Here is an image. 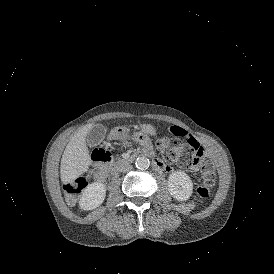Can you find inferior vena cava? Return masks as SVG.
Here are the masks:
<instances>
[{
    "label": "inferior vena cava",
    "mask_w": 274,
    "mask_h": 274,
    "mask_svg": "<svg viewBox=\"0 0 274 274\" xmlns=\"http://www.w3.org/2000/svg\"><path fill=\"white\" fill-rule=\"evenodd\" d=\"M131 169H132V166L130 164H125L120 167V171L124 173L128 172Z\"/></svg>",
    "instance_id": "602c4592"
}]
</instances>
